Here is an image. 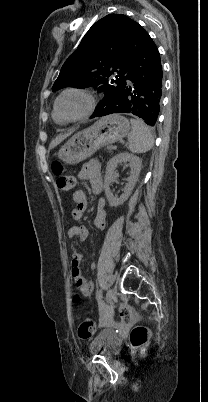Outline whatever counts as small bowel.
<instances>
[{
	"mask_svg": "<svg viewBox=\"0 0 208 402\" xmlns=\"http://www.w3.org/2000/svg\"><path fill=\"white\" fill-rule=\"evenodd\" d=\"M78 179L81 181H88L91 185L93 192L99 193L103 188V179L101 173V165L97 160L87 162L82 169L78 172ZM73 200L76 203V208L72 211L74 220H80L83 213L87 209V196L84 190L78 189L73 193ZM107 221V212L105 208V201L100 199L97 202L96 216L94 219V226L97 229H104ZM88 236V231L83 226H74L68 231V239L74 241L76 239L85 240ZM72 259V276L79 286V288L86 294H91L94 291V284L85 279L80 269L81 255L77 249L71 251Z\"/></svg>",
	"mask_w": 208,
	"mask_h": 402,
	"instance_id": "small-bowel-1",
	"label": "small bowel"
}]
</instances>
